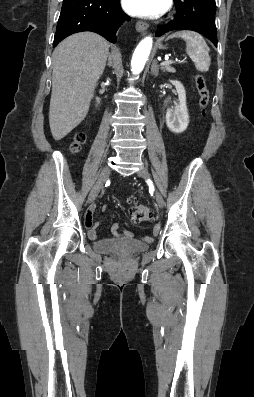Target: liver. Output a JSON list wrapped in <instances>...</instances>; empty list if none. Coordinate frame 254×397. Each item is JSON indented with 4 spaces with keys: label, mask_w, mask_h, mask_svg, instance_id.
<instances>
[{
    "label": "liver",
    "mask_w": 254,
    "mask_h": 397,
    "mask_svg": "<svg viewBox=\"0 0 254 397\" xmlns=\"http://www.w3.org/2000/svg\"><path fill=\"white\" fill-rule=\"evenodd\" d=\"M108 52L109 43L92 32L73 34L55 48L49 108L55 140L63 139L86 117Z\"/></svg>",
    "instance_id": "1"
}]
</instances>
